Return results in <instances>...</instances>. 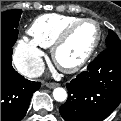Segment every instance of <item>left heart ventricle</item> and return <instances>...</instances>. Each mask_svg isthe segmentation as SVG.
<instances>
[{
	"instance_id": "left-heart-ventricle-1",
	"label": "left heart ventricle",
	"mask_w": 121,
	"mask_h": 121,
	"mask_svg": "<svg viewBox=\"0 0 121 121\" xmlns=\"http://www.w3.org/2000/svg\"><path fill=\"white\" fill-rule=\"evenodd\" d=\"M97 37V28L92 23L80 25L67 42L59 49L58 59L62 64L71 65L84 57Z\"/></svg>"
}]
</instances>
